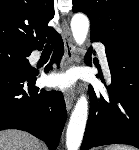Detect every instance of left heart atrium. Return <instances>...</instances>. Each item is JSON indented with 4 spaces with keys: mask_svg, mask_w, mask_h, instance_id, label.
Returning a JSON list of instances; mask_svg holds the SVG:
<instances>
[{
    "mask_svg": "<svg viewBox=\"0 0 139 150\" xmlns=\"http://www.w3.org/2000/svg\"><path fill=\"white\" fill-rule=\"evenodd\" d=\"M73 82V76L70 74H56L48 78V84L60 89L69 88Z\"/></svg>",
    "mask_w": 139,
    "mask_h": 150,
    "instance_id": "1",
    "label": "left heart atrium"
}]
</instances>
